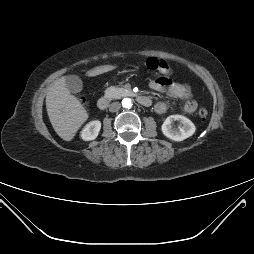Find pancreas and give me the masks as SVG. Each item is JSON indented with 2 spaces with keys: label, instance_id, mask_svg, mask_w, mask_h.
I'll use <instances>...</instances> for the list:
<instances>
[{
  "label": "pancreas",
  "instance_id": "1",
  "mask_svg": "<svg viewBox=\"0 0 254 254\" xmlns=\"http://www.w3.org/2000/svg\"><path fill=\"white\" fill-rule=\"evenodd\" d=\"M129 91L125 88L111 86L105 90V97L110 99H118L124 95H127Z\"/></svg>",
  "mask_w": 254,
  "mask_h": 254
}]
</instances>
